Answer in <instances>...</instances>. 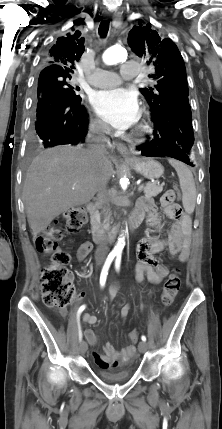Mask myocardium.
<instances>
[{"mask_svg": "<svg viewBox=\"0 0 222 429\" xmlns=\"http://www.w3.org/2000/svg\"><path fill=\"white\" fill-rule=\"evenodd\" d=\"M145 125H144V123H141V124H139L138 126H137V128H136V132H137V134H139V133H141V132H143L144 130H145Z\"/></svg>", "mask_w": 222, "mask_h": 429, "instance_id": "myocardium-1", "label": "myocardium"}]
</instances>
